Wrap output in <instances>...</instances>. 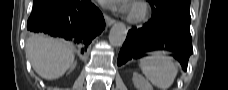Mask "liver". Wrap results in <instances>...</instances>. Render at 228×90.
<instances>
[{
    "mask_svg": "<svg viewBox=\"0 0 228 90\" xmlns=\"http://www.w3.org/2000/svg\"><path fill=\"white\" fill-rule=\"evenodd\" d=\"M26 53L32 67L42 78L53 80L74 66V54L62 40L33 34L26 42Z\"/></svg>",
    "mask_w": 228,
    "mask_h": 90,
    "instance_id": "liver-1",
    "label": "liver"
}]
</instances>
